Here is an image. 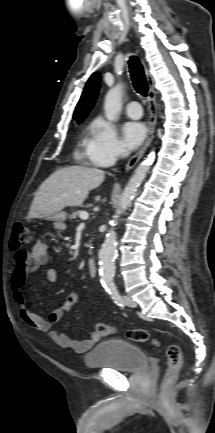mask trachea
Masks as SVG:
<instances>
[{
    "instance_id": "1",
    "label": "trachea",
    "mask_w": 215,
    "mask_h": 433,
    "mask_svg": "<svg viewBox=\"0 0 215 433\" xmlns=\"http://www.w3.org/2000/svg\"><path fill=\"white\" fill-rule=\"evenodd\" d=\"M129 70L135 90L140 95L146 97L148 93V83L144 74L143 67L136 56L129 59Z\"/></svg>"
}]
</instances>
